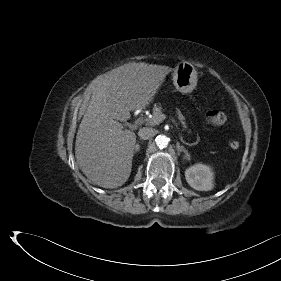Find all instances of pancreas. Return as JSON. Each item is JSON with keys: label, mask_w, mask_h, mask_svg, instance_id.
<instances>
[{"label": "pancreas", "mask_w": 281, "mask_h": 281, "mask_svg": "<svg viewBox=\"0 0 281 281\" xmlns=\"http://www.w3.org/2000/svg\"><path fill=\"white\" fill-rule=\"evenodd\" d=\"M162 115V107L160 105H155L153 107V117L151 119H147L148 122H153L152 124H156L154 123V120L158 119L160 116ZM178 119L181 121L182 125L184 128H186V124H185V118L184 116L178 112Z\"/></svg>", "instance_id": "1"}]
</instances>
